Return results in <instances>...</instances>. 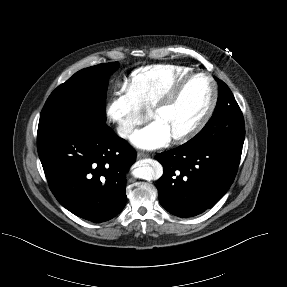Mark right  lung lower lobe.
Wrapping results in <instances>:
<instances>
[{"label": "right lung lower lobe", "mask_w": 287, "mask_h": 287, "mask_svg": "<svg viewBox=\"0 0 287 287\" xmlns=\"http://www.w3.org/2000/svg\"><path fill=\"white\" fill-rule=\"evenodd\" d=\"M37 148L52 193L70 212L100 223L123 210L136 153L106 124L38 136Z\"/></svg>", "instance_id": "right-lung-lower-lobe-1"}]
</instances>
